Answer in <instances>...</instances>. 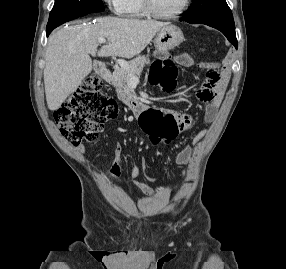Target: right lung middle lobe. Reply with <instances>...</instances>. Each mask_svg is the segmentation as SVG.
I'll return each mask as SVG.
<instances>
[{"label": "right lung middle lobe", "mask_w": 286, "mask_h": 269, "mask_svg": "<svg viewBox=\"0 0 286 269\" xmlns=\"http://www.w3.org/2000/svg\"><path fill=\"white\" fill-rule=\"evenodd\" d=\"M104 9L101 0H55L49 15L47 29H54L65 22Z\"/></svg>", "instance_id": "obj_1"}]
</instances>
